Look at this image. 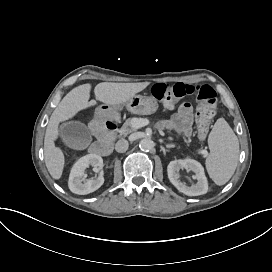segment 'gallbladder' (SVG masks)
Segmentation results:
<instances>
[{
	"label": "gallbladder",
	"instance_id": "gallbladder-1",
	"mask_svg": "<svg viewBox=\"0 0 272 272\" xmlns=\"http://www.w3.org/2000/svg\"><path fill=\"white\" fill-rule=\"evenodd\" d=\"M63 142L73 149H84L92 141L90 130L81 122L71 121L61 125Z\"/></svg>",
	"mask_w": 272,
	"mask_h": 272
}]
</instances>
